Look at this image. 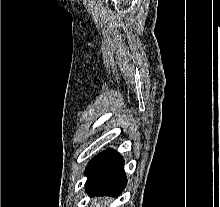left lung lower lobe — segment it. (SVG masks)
<instances>
[{"instance_id":"1","label":"left lung lower lobe","mask_w":220,"mask_h":207,"mask_svg":"<svg viewBox=\"0 0 220 207\" xmlns=\"http://www.w3.org/2000/svg\"><path fill=\"white\" fill-rule=\"evenodd\" d=\"M124 160L114 150L95 156L86 167L85 189L90 196H118L127 179L123 170Z\"/></svg>"}]
</instances>
